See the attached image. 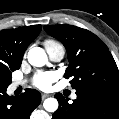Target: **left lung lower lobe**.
I'll list each match as a JSON object with an SVG mask.
<instances>
[{
	"mask_svg": "<svg viewBox=\"0 0 119 119\" xmlns=\"http://www.w3.org/2000/svg\"><path fill=\"white\" fill-rule=\"evenodd\" d=\"M76 94L72 104L62 94H55L59 108L52 119H119V92L80 90Z\"/></svg>",
	"mask_w": 119,
	"mask_h": 119,
	"instance_id": "left-lung-lower-lobe-1",
	"label": "left lung lower lobe"
}]
</instances>
